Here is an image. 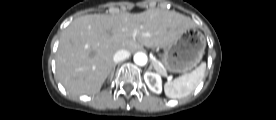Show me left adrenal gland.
<instances>
[{"instance_id":"a2214340","label":"left adrenal gland","mask_w":276,"mask_h":120,"mask_svg":"<svg viewBox=\"0 0 276 120\" xmlns=\"http://www.w3.org/2000/svg\"><path fill=\"white\" fill-rule=\"evenodd\" d=\"M152 66H153V62L151 63V65H150V67H149V70H151V69H152Z\"/></svg>"}]
</instances>
